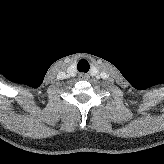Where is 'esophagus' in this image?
<instances>
[{"label":"esophagus","mask_w":164,"mask_h":164,"mask_svg":"<svg viewBox=\"0 0 164 164\" xmlns=\"http://www.w3.org/2000/svg\"><path fill=\"white\" fill-rule=\"evenodd\" d=\"M89 78V75L88 74H85V73H81L79 75V79L81 80H87Z\"/></svg>","instance_id":"1"}]
</instances>
